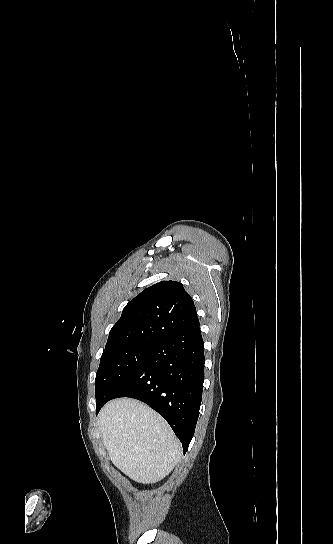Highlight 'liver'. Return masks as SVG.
Instances as JSON below:
<instances>
[{
    "label": "liver",
    "mask_w": 333,
    "mask_h": 544,
    "mask_svg": "<svg viewBox=\"0 0 333 544\" xmlns=\"http://www.w3.org/2000/svg\"><path fill=\"white\" fill-rule=\"evenodd\" d=\"M98 424L112 463L136 482L162 480L182 457L181 444L168 423L137 400L107 403Z\"/></svg>",
    "instance_id": "1"
}]
</instances>
